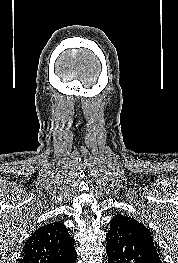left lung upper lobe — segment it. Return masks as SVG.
Masks as SVG:
<instances>
[{"label":"left lung upper lobe","mask_w":178,"mask_h":263,"mask_svg":"<svg viewBox=\"0 0 178 263\" xmlns=\"http://www.w3.org/2000/svg\"><path fill=\"white\" fill-rule=\"evenodd\" d=\"M116 216H119V215H116ZM120 216H123V215H120ZM124 218H126L127 220L133 222V223H136L138 225H141V226H144L142 223H139L138 221H136L134 218H131V217H128V216H123Z\"/></svg>","instance_id":"left-lung-upper-lobe-1"}]
</instances>
